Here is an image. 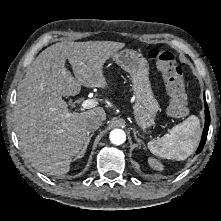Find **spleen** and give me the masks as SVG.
<instances>
[{
	"instance_id": "3e777b00",
	"label": "spleen",
	"mask_w": 221,
	"mask_h": 221,
	"mask_svg": "<svg viewBox=\"0 0 221 221\" xmlns=\"http://www.w3.org/2000/svg\"><path fill=\"white\" fill-rule=\"evenodd\" d=\"M201 136L200 121L195 115L175 125L161 138L148 142L150 152L160 158L184 161L196 149Z\"/></svg>"
}]
</instances>
